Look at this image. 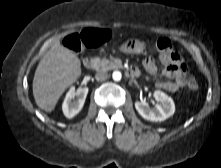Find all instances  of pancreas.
<instances>
[{
	"instance_id": "1",
	"label": "pancreas",
	"mask_w": 221,
	"mask_h": 168,
	"mask_svg": "<svg viewBox=\"0 0 221 168\" xmlns=\"http://www.w3.org/2000/svg\"><path fill=\"white\" fill-rule=\"evenodd\" d=\"M93 61L96 70L107 71L118 68V66L112 60H108L106 58L101 59L99 57H96L93 59Z\"/></svg>"
}]
</instances>
